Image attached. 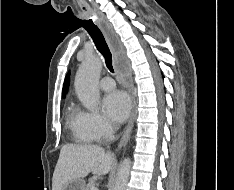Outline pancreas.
<instances>
[{"label":"pancreas","instance_id":"pancreas-1","mask_svg":"<svg viewBox=\"0 0 234 190\" xmlns=\"http://www.w3.org/2000/svg\"><path fill=\"white\" fill-rule=\"evenodd\" d=\"M95 186V181H94V179L93 178H91V179H89V182H88V184H87V186H86V189L85 190H91L92 189V187H94Z\"/></svg>","mask_w":234,"mask_h":190}]
</instances>
